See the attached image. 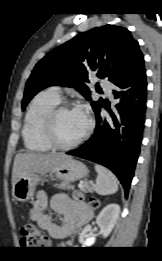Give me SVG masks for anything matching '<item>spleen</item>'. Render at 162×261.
<instances>
[{
	"mask_svg": "<svg viewBox=\"0 0 162 261\" xmlns=\"http://www.w3.org/2000/svg\"><path fill=\"white\" fill-rule=\"evenodd\" d=\"M95 170L98 173L94 190L99 195L114 194L118 190V180L116 176L107 168L96 164Z\"/></svg>",
	"mask_w": 162,
	"mask_h": 261,
	"instance_id": "spleen-1",
	"label": "spleen"
}]
</instances>
